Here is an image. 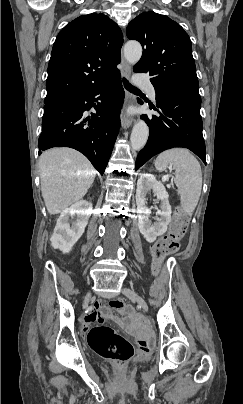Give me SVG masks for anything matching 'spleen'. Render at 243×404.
<instances>
[{"label":"spleen","mask_w":243,"mask_h":404,"mask_svg":"<svg viewBox=\"0 0 243 404\" xmlns=\"http://www.w3.org/2000/svg\"><path fill=\"white\" fill-rule=\"evenodd\" d=\"M168 166H173L176 178L174 182L180 194V204L185 214L194 212L202 190L201 166L186 148H172L159 154L155 160V168L163 172Z\"/></svg>","instance_id":"obj_1"}]
</instances>
